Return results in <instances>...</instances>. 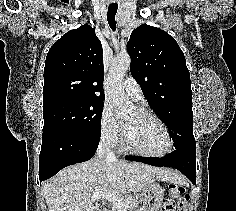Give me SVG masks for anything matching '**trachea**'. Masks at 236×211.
<instances>
[{
	"label": "trachea",
	"mask_w": 236,
	"mask_h": 211,
	"mask_svg": "<svg viewBox=\"0 0 236 211\" xmlns=\"http://www.w3.org/2000/svg\"><path fill=\"white\" fill-rule=\"evenodd\" d=\"M117 9H118L117 6H109L108 12H107V20H108L110 28L113 31L116 30L115 15H116Z\"/></svg>",
	"instance_id": "3493384b"
}]
</instances>
